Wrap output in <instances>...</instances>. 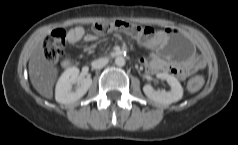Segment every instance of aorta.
<instances>
[{"mask_svg": "<svg viewBox=\"0 0 238 145\" xmlns=\"http://www.w3.org/2000/svg\"><path fill=\"white\" fill-rule=\"evenodd\" d=\"M125 63H126V61H125V58H124V57L118 56V57L115 58V64H116L117 66L122 67V66L125 65Z\"/></svg>", "mask_w": 238, "mask_h": 145, "instance_id": "762f6f07", "label": "aorta"}]
</instances>
